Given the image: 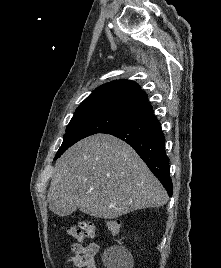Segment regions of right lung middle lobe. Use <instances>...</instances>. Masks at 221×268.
I'll use <instances>...</instances> for the list:
<instances>
[{
  "mask_svg": "<svg viewBox=\"0 0 221 268\" xmlns=\"http://www.w3.org/2000/svg\"><path fill=\"white\" fill-rule=\"evenodd\" d=\"M125 119L116 114L102 110L77 111L66 128L64 140L56 158L60 157L77 141L105 131L106 129L124 122Z\"/></svg>",
  "mask_w": 221,
  "mask_h": 268,
  "instance_id": "obj_1",
  "label": "right lung middle lobe"
}]
</instances>
